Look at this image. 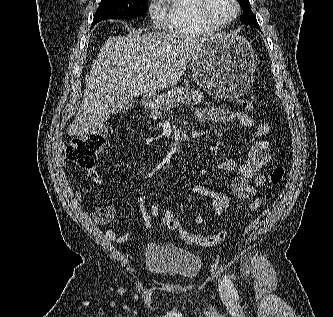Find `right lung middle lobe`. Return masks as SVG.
I'll return each mask as SVG.
<instances>
[{
  "mask_svg": "<svg viewBox=\"0 0 333 317\" xmlns=\"http://www.w3.org/2000/svg\"><path fill=\"white\" fill-rule=\"evenodd\" d=\"M148 7V0H101L94 14V26L105 19H122L143 15Z\"/></svg>",
  "mask_w": 333,
  "mask_h": 317,
  "instance_id": "right-lung-middle-lobe-1",
  "label": "right lung middle lobe"
}]
</instances>
